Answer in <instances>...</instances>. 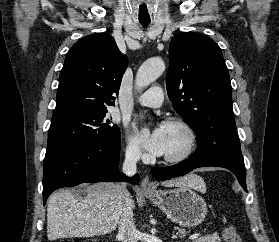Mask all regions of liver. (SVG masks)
<instances>
[{
	"label": "liver",
	"instance_id": "1",
	"mask_svg": "<svg viewBox=\"0 0 279 242\" xmlns=\"http://www.w3.org/2000/svg\"><path fill=\"white\" fill-rule=\"evenodd\" d=\"M166 187H190L206 192L204 181L196 175L163 183ZM86 197L63 189L53 193L47 202V237H93L115 230L121 211L122 188L117 183L86 185ZM132 203V207H133Z\"/></svg>",
	"mask_w": 279,
	"mask_h": 242
}]
</instances>
